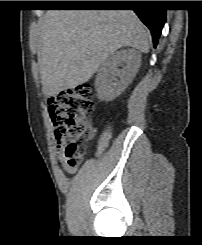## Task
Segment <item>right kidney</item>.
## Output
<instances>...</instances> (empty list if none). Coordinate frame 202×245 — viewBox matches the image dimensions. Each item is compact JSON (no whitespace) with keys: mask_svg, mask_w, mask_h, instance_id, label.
Returning <instances> with one entry per match:
<instances>
[{"mask_svg":"<svg viewBox=\"0 0 202 245\" xmlns=\"http://www.w3.org/2000/svg\"><path fill=\"white\" fill-rule=\"evenodd\" d=\"M141 64V54L134 49L120 50L110 55L100 66L95 88L101 101H111L131 83ZM118 66H122L119 69Z\"/></svg>","mask_w":202,"mask_h":245,"instance_id":"ca27d5eb","label":"right kidney"}]
</instances>
